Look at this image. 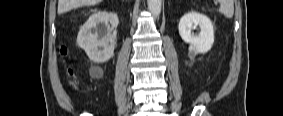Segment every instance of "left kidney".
<instances>
[{
	"label": "left kidney",
	"instance_id": "5707ae66",
	"mask_svg": "<svg viewBox=\"0 0 283 116\" xmlns=\"http://www.w3.org/2000/svg\"><path fill=\"white\" fill-rule=\"evenodd\" d=\"M199 26V35L191 33L193 27ZM179 34L182 40L188 43L190 58H194L200 53H207L214 43V29L210 19L200 13L191 11L184 14L179 22Z\"/></svg>",
	"mask_w": 283,
	"mask_h": 116
}]
</instances>
